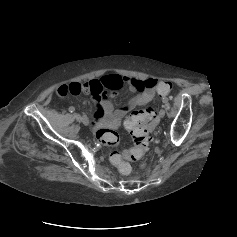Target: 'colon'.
Segmentation results:
<instances>
[{"instance_id": "1", "label": "colon", "mask_w": 237, "mask_h": 237, "mask_svg": "<svg viewBox=\"0 0 237 237\" xmlns=\"http://www.w3.org/2000/svg\"><path fill=\"white\" fill-rule=\"evenodd\" d=\"M156 88L160 95H168L172 90V84L169 81L156 82ZM156 123V116L152 109L146 108L132 112L126 120L125 126L133 139V147L119 152L114 147L119 144V135L116 131L108 128H101L96 132L97 141L108 146L109 161L117 167L122 174H128L131 171L130 162L139 160L150 142L149 129Z\"/></svg>"}]
</instances>
